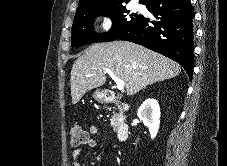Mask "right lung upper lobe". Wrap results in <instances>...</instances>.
Here are the masks:
<instances>
[{"mask_svg":"<svg viewBox=\"0 0 227 166\" xmlns=\"http://www.w3.org/2000/svg\"><path fill=\"white\" fill-rule=\"evenodd\" d=\"M147 1L148 0H140L139 2L145 4ZM129 2L130 0H79L76 12L117 7Z\"/></svg>","mask_w":227,"mask_h":166,"instance_id":"right-lung-upper-lobe-1","label":"right lung upper lobe"}]
</instances>
